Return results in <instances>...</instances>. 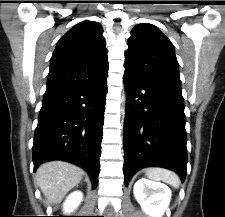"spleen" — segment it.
<instances>
[{
  "mask_svg": "<svg viewBox=\"0 0 225 217\" xmlns=\"http://www.w3.org/2000/svg\"><path fill=\"white\" fill-rule=\"evenodd\" d=\"M146 176L152 180L166 182L175 188L180 185V179L174 172L160 167H152L145 170Z\"/></svg>",
  "mask_w": 225,
  "mask_h": 217,
  "instance_id": "spleen-1",
  "label": "spleen"
}]
</instances>
